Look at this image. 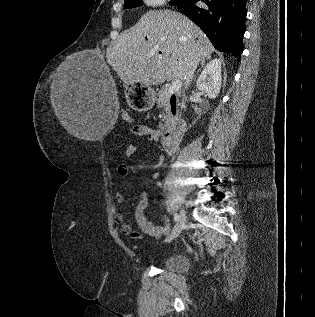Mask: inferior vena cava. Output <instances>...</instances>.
Returning a JSON list of instances; mask_svg holds the SVG:
<instances>
[{
    "mask_svg": "<svg viewBox=\"0 0 315 317\" xmlns=\"http://www.w3.org/2000/svg\"><path fill=\"white\" fill-rule=\"evenodd\" d=\"M196 65L192 64V68L191 71H189V73L186 75V77L184 78V88L187 89L192 81L193 75H194V71L196 70Z\"/></svg>",
    "mask_w": 315,
    "mask_h": 317,
    "instance_id": "602c4592",
    "label": "inferior vena cava"
}]
</instances>
